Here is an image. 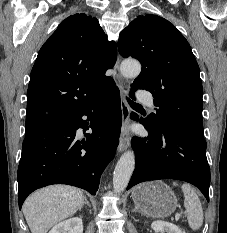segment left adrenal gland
<instances>
[{"label":"left adrenal gland","mask_w":227,"mask_h":233,"mask_svg":"<svg viewBox=\"0 0 227 233\" xmlns=\"http://www.w3.org/2000/svg\"><path fill=\"white\" fill-rule=\"evenodd\" d=\"M133 212H138V209H137V208H135V209L133 210Z\"/></svg>","instance_id":"a2214340"}]
</instances>
